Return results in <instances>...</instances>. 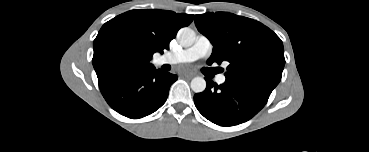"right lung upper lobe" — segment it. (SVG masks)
Instances as JSON below:
<instances>
[{
    "label": "right lung upper lobe",
    "mask_w": 369,
    "mask_h": 152,
    "mask_svg": "<svg viewBox=\"0 0 369 152\" xmlns=\"http://www.w3.org/2000/svg\"><path fill=\"white\" fill-rule=\"evenodd\" d=\"M194 15L158 9H135L106 22L94 40L92 63L99 85L136 70L151 69L155 52L169 49L177 31L188 26ZM128 60L122 70H114L113 63Z\"/></svg>",
    "instance_id": "cb5924a9"
}]
</instances>
